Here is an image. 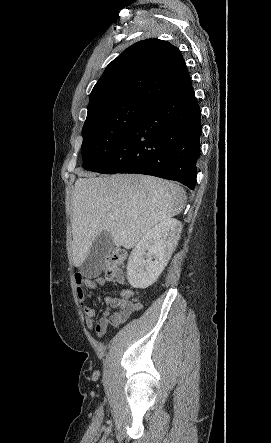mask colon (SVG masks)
<instances>
[{
  "mask_svg": "<svg viewBox=\"0 0 271 443\" xmlns=\"http://www.w3.org/2000/svg\"><path fill=\"white\" fill-rule=\"evenodd\" d=\"M126 259V254L121 249H111L105 260V274L108 278L121 280L122 268Z\"/></svg>",
  "mask_w": 271,
  "mask_h": 443,
  "instance_id": "1",
  "label": "colon"
}]
</instances>
